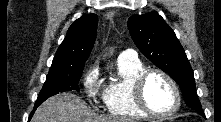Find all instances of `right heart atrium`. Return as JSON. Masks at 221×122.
<instances>
[{"instance_id": "right-heart-atrium-1", "label": "right heart atrium", "mask_w": 221, "mask_h": 122, "mask_svg": "<svg viewBox=\"0 0 221 122\" xmlns=\"http://www.w3.org/2000/svg\"><path fill=\"white\" fill-rule=\"evenodd\" d=\"M99 76L98 68L91 66L84 76V88L89 98L98 102L99 99H104V92L98 93L96 83Z\"/></svg>"}]
</instances>
